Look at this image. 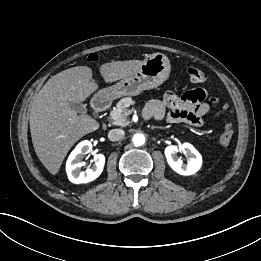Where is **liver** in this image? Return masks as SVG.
<instances>
[{
  "label": "liver",
  "mask_w": 261,
  "mask_h": 261,
  "mask_svg": "<svg viewBox=\"0 0 261 261\" xmlns=\"http://www.w3.org/2000/svg\"><path fill=\"white\" fill-rule=\"evenodd\" d=\"M143 61L105 63L100 73L106 83L132 75ZM92 69L76 66L51 77L39 91L30 108V132L37 157L56 175L71 147L84 135L99 128L89 115H77L70 102H83L98 89Z\"/></svg>",
  "instance_id": "1"
}]
</instances>
